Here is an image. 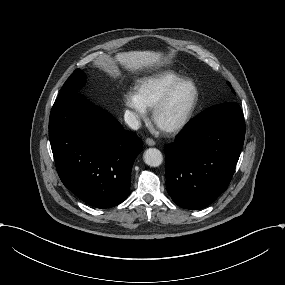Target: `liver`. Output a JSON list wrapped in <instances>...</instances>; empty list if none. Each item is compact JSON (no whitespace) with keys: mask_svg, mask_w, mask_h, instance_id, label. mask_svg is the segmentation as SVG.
Masks as SVG:
<instances>
[{"mask_svg":"<svg viewBox=\"0 0 285 285\" xmlns=\"http://www.w3.org/2000/svg\"><path fill=\"white\" fill-rule=\"evenodd\" d=\"M117 60L128 63L131 66H137L140 64L148 63L154 60V55L150 52H137L130 54H118L117 57L110 55H104L98 58V63L107 67L108 69L118 70Z\"/></svg>","mask_w":285,"mask_h":285,"instance_id":"1","label":"liver"}]
</instances>
